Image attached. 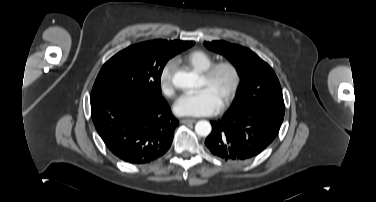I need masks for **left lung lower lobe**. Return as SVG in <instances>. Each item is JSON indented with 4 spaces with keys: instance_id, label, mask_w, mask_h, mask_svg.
<instances>
[{
    "instance_id": "0a47b994",
    "label": "left lung lower lobe",
    "mask_w": 376,
    "mask_h": 202,
    "mask_svg": "<svg viewBox=\"0 0 376 202\" xmlns=\"http://www.w3.org/2000/svg\"><path fill=\"white\" fill-rule=\"evenodd\" d=\"M284 115L263 107L241 112L228 111L212 121L205 144L225 161H243L262 152L277 137Z\"/></svg>"
}]
</instances>
